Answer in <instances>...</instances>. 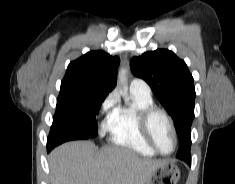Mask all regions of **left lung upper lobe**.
Listing matches in <instances>:
<instances>
[{
	"label": "left lung upper lobe",
	"mask_w": 235,
	"mask_h": 184,
	"mask_svg": "<svg viewBox=\"0 0 235 184\" xmlns=\"http://www.w3.org/2000/svg\"><path fill=\"white\" fill-rule=\"evenodd\" d=\"M132 73L144 79L172 116L179 136L176 157L191 160V125L194 119V80L186 63L172 51H148L130 62Z\"/></svg>",
	"instance_id": "left-lung-upper-lobe-1"
}]
</instances>
